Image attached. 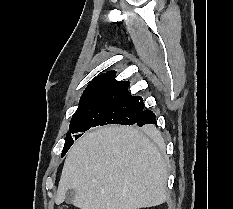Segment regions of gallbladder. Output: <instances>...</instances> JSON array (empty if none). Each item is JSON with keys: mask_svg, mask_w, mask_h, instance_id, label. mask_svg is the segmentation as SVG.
Wrapping results in <instances>:
<instances>
[{"mask_svg": "<svg viewBox=\"0 0 233 209\" xmlns=\"http://www.w3.org/2000/svg\"><path fill=\"white\" fill-rule=\"evenodd\" d=\"M74 199H75V190L73 189L68 190L66 193L65 201L67 203H72Z\"/></svg>", "mask_w": 233, "mask_h": 209, "instance_id": "1", "label": "gallbladder"}]
</instances>
